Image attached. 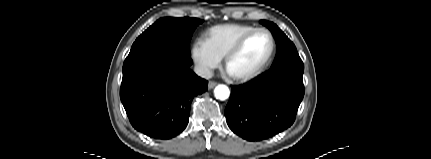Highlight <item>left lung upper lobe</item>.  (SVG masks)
I'll return each instance as SVG.
<instances>
[{"label": "left lung upper lobe", "mask_w": 431, "mask_h": 159, "mask_svg": "<svg viewBox=\"0 0 431 159\" xmlns=\"http://www.w3.org/2000/svg\"><path fill=\"white\" fill-rule=\"evenodd\" d=\"M260 22L270 29L278 45L276 57L271 68L286 64L303 65L295 45L284 32L272 22L263 20Z\"/></svg>", "instance_id": "5c2ea615"}]
</instances>
